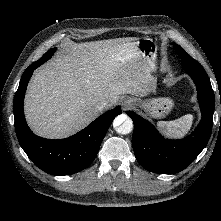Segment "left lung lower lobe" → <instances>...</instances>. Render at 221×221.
Listing matches in <instances>:
<instances>
[{
	"instance_id": "left-lung-lower-lobe-1",
	"label": "left lung lower lobe",
	"mask_w": 221,
	"mask_h": 221,
	"mask_svg": "<svg viewBox=\"0 0 221 221\" xmlns=\"http://www.w3.org/2000/svg\"><path fill=\"white\" fill-rule=\"evenodd\" d=\"M182 64L197 87L202 112L200 123L188 137L165 139L149 121L126 111L134 122L132 146L135 157L146 170L154 173L173 174L184 170L205 148L211 135L215 99L210 80L202 65L187 53L182 56Z\"/></svg>"
}]
</instances>
